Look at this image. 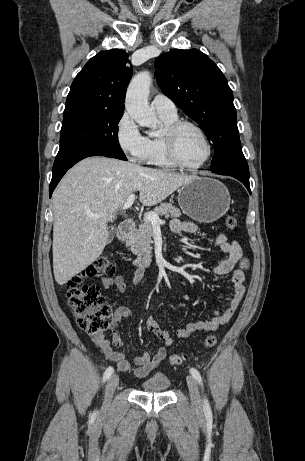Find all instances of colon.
I'll return each mask as SVG.
<instances>
[{
	"label": "colon",
	"mask_w": 305,
	"mask_h": 461,
	"mask_svg": "<svg viewBox=\"0 0 305 461\" xmlns=\"http://www.w3.org/2000/svg\"><path fill=\"white\" fill-rule=\"evenodd\" d=\"M225 225L229 229L237 227V219L228 216ZM114 273V265L110 256L101 255L82 274L73 276L67 282L68 304L73 311L81 329L92 335H100L108 328V318L112 314L110 305L106 302L98 286L83 284L85 278H107ZM214 335L204 340V347L209 349L216 345ZM187 356L184 354L170 355V365H181Z\"/></svg>",
	"instance_id": "obj_1"
}]
</instances>
